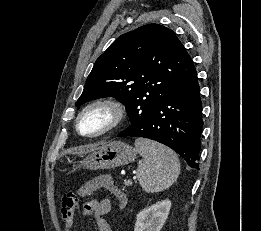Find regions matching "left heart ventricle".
<instances>
[{
  "label": "left heart ventricle",
  "mask_w": 261,
  "mask_h": 231,
  "mask_svg": "<svg viewBox=\"0 0 261 231\" xmlns=\"http://www.w3.org/2000/svg\"><path fill=\"white\" fill-rule=\"evenodd\" d=\"M111 113L104 107L87 111L80 119L79 129L84 134H92L105 128L111 121Z\"/></svg>",
  "instance_id": "left-heart-ventricle-1"
}]
</instances>
